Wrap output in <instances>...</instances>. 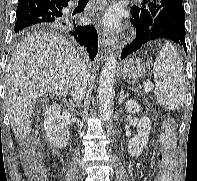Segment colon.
Wrapping results in <instances>:
<instances>
[{
	"instance_id": "5ec220e1",
	"label": "colon",
	"mask_w": 197,
	"mask_h": 181,
	"mask_svg": "<svg viewBox=\"0 0 197 181\" xmlns=\"http://www.w3.org/2000/svg\"><path fill=\"white\" fill-rule=\"evenodd\" d=\"M176 127L173 121L167 120L163 126L160 149L158 153L159 171L153 181H171L174 160L172 147L175 141ZM24 168L35 181H46V173L42 168L39 152L30 148L26 152Z\"/></svg>"
}]
</instances>
